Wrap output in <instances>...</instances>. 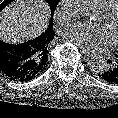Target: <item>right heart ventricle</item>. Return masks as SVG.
I'll return each instance as SVG.
<instances>
[{"mask_svg": "<svg viewBox=\"0 0 118 118\" xmlns=\"http://www.w3.org/2000/svg\"><path fill=\"white\" fill-rule=\"evenodd\" d=\"M92 3L98 11L102 12L116 5L118 0H92Z\"/></svg>", "mask_w": 118, "mask_h": 118, "instance_id": "e07e8e85", "label": "right heart ventricle"}]
</instances>
